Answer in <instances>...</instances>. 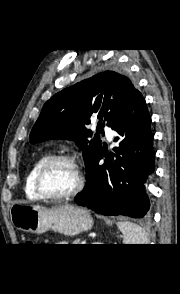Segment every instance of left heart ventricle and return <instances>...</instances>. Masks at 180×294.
I'll return each mask as SVG.
<instances>
[{"label": "left heart ventricle", "instance_id": "left-heart-ventricle-1", "mask_svg": "<svg viewBox=\"0 0 180 294\" xmlns=\"http://www.w3.org/2000/svg\"><path fill=\"white\" fill-rule=\"evenodd\" d=\"M76 184V171L66 162H59L51 166L42 181L44 191L52 195L65 194L74 189Z\"/></svg>", "mask_w": 180, "mask_h": 294}]
</instances>
